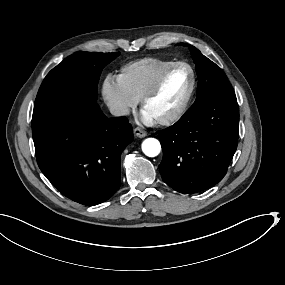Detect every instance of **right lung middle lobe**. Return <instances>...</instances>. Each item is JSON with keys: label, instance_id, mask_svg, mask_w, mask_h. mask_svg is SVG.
Wrapping results in <instances>:
<instances>
[{"label": "right lung middle lobe", "instance_id": "obj_1", "mask_svg": "<svg viewBox=\"0 0 285 285\" xmlns=\"http://www.w3.org/2000/svg\"><path fill=\"white\" fill-rule=\"evenodd\" d=\"M120 53L76 52L53 68L43 80L35 105L66 92H77L97 99L102 69Z\"/></svg>", "mask_w": 285, "mask_h": 285}]
</instances>
